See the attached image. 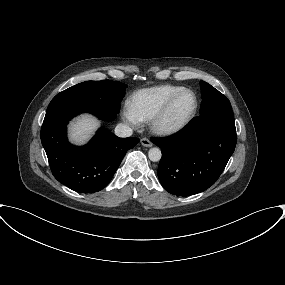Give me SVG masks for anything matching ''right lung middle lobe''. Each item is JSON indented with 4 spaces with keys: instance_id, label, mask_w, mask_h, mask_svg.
I'll use <instances>...</instances> for the list:
<instances>
[{
    "instance_id": "1",
    "label": "right lung middle lobe",
    "mask_w": 285,
    "mask_h": 285,
    "mask_svg": "<svg viewBox=\"0 0 285 285\" xmlns=\"http://www.w3.org/2000/svg\"><path fill=\"white\" fill-rule=\"evenodd\" d=\"M127 85L117 81H86L74 85L57 96L71 97L103 111L118 114Z\"/></svg>"
}]
</instances>
